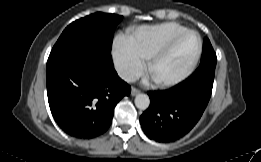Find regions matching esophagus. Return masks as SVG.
<instances>
[{"mask_svg":"<svg viewBox=\"0 0 261 162\" xmlns=\"http://www.w3.org/2000/svg\"><path fill=\"white\" fill-rule=\"evenodd\" d=\"M140 93V90L139 89H137V88H132V90H131V95L132 96H135V95H137V94H139Z\"/></svg>","mask_w":261,"mask_h":162,"instance_id":"34e87169","label":"esophagus"}]
</instances>
